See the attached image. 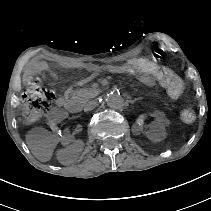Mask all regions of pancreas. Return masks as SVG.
Masks as SVG:
<instances>
[{
  "label": "pancreas",
  "instance_id": "cf45deb5",
  "mask_svg": "<svg viewBox=\"0 0 211 211\" xmlns=\"http://www.w3.org/2000/svg\"><path fill=\"white\" fill-rule=\"evenodd\" d=\"M96 96L93 89L82 88L74 92V98L78 99L81 103H87L91 98Z\"/></svg>",
  "mask_w": 211,
  "mask_h": 211
}]
</instances>
